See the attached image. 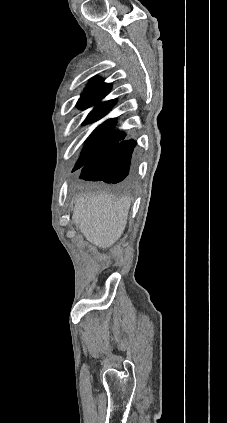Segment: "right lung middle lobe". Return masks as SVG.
Wrapping results in <instances>:
<instances>
[{"label": "right lung middle lobe", "mask_w": 227, "mask_h": 423, "mask_svg": "<svg viewBox=\"0 0 227 423\" xmlns=\"http://www.w3.org/2000/svg\"><path fill=\"white\" fill-rule=\"evenodd\" d=\"M93 156L94 155H84V154H82L81 157H80V159L76 163V166H75L74 170H77V169L81 168Z\"/></svg>", "instance_id": "right-lung-middle-lobe-1"}]
</instances>
